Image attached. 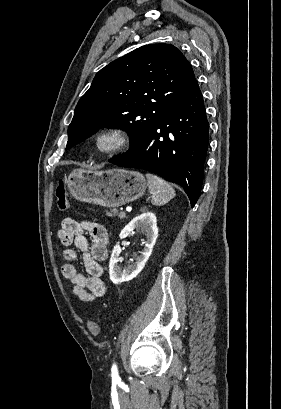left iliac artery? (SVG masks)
I'll list each match as a JSON object with an SVG mask.
<instances>
[{"label": "left iliac artery", "mask_w": 281, "mask_h": 409, "mask_svg": "<svg viewBox=\"0 0 281 409\" xmlns=\"http://www.w3.org/2000/svg\"><path fill=\"white\" fill-rule=\"evenodd\" d=\"M112 378L113 379H118L119 378L116 365H113V367H112Z\"/></svg>", "instance_id": "44dca946"}]
</instances>
